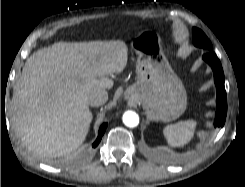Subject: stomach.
<instances>
[{"label": "stomach", "instance_id": "0dacf381", "mask_svg": "<svg viewBox=\"0 0 245 187\" xmlns=\"http://www.w3.org/2000/svg\"><path fill=\"white\" fill-rule=\"evenodd\" d=\"M131 46L138 55L137 79L127 89L128 98L137 100L164 122L175 120L186 109L187 94L163 54L160 33L145 30L132 40Z\"/></svg>", "mask_w": 245, "mask_h": 187}]
</instances>
